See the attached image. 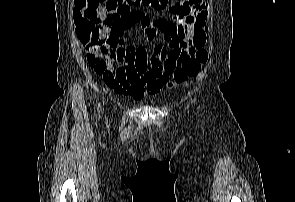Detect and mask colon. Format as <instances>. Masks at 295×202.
Returning <instances> with one entry per match:
<instances>
[{"label":"colon","mask_w":295,"mask_h":202,"mask_svg":"<svg viewBox=\"0 0 295 202\" xmlns=\"http://www.w3.org/2000/svg\"><path fill=\"white\" fill-rule=\"evenodd\" d=\"M101 2L103 3V1ZM104 2L103 6L107 16L100 23H90L86 19L78 17L79 38L87 48L107 47L111 35L104 32L103 29L111 28L115 19L129 16L133 12L135 4L151 5L152 7H164L167 4V0H104ZM207 60L208 54L205 50H194L187 54L181 53L176 63L167 65L166 73L169 78L173 76L177 83H183L197 76ZM108 77L114 76L108 75Z\"/></svg>","instance_id":"colon-1"}]
</instances>
